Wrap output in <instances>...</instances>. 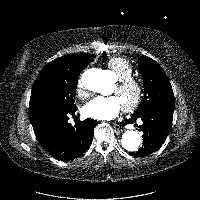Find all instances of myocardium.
Segmentation results:
<instances>
[{"label": "myocardium", "instance_id": "1", "mask_svg": "<svg viewBox=\"0 0 200 200\" xmlns=\"http://www.w3.org/2000/svg\"><path fill=\"white\" fill-rule=\"evenodd\" d=\"M116 88L119 92L132 89L134 91V97L128 103L123 105V109L127 112H131L139 107L144 97V86L141 80L135 77H128L118 80Z\"/></svg>", "mask_w": 200, "mask_h": 200}]
</instances>
